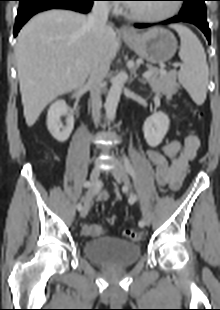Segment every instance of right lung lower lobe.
<instances>
[{
    "label": "right lung lower lobe",
    "instance_id": "1",
    "mask_svg": "<svg viewBox=\"0 0 220 310\" xmlns=\"http://www.w3.org/2000/svg\"><path fill=\"white\" fill-rule=\"evenodd\" d=\"M20 2L15 21L14 36L21 27L36 13L53 9H70L82 13L90 11L94 0H18Z\"/></svg>",
    "mask_w": 220,
    "mask_h": 310
}]
</instances>
